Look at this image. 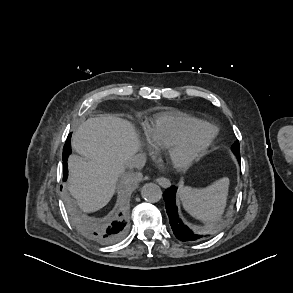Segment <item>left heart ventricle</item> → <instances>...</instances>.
I'll list each match as a JSON object with an SVG mask.
<instances>
[{
	"instance_id": "b2bd125f",
	"label": "left heart ventricle",
	"mask_w": 293,
	"mask_h": 293,
	"mask_svg": "<svg viewBox=\"0 0 293 293\" xmlns=\"http://www.w3.org/2000/svg\"><path fill=\"white\" fill-rule=\"evenodd\" d=\"M208 134V130L205 129V128H201V129H198L197 131L194 132L193 134V141L194 142H199L201 141L206 135Z\"/></svg>"
}]
</instances>
